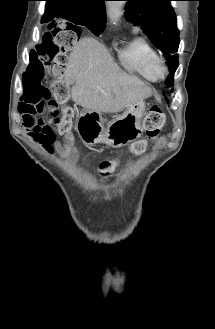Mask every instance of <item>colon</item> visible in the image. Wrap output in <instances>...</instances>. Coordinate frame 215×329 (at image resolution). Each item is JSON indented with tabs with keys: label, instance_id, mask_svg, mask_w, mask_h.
I'll list each match as a JSON object with an SVG mask.
<instances>
[{
	"label": "colon",
	"instance_id": "obj_1",
	"mask_svg": "<svg viewBox=\"0 0 215 329\" xmlns=\"http://www.w3.org/2000/svg\"><path fill=\"white\" fill-rule=\"evenodd\" d=\"M43 30L36 31V38L44 40L32 50L31 55L25 56V61L31 62V66H25L24 71L54 74H27V81L23 83L26 92L21 97L20 113L35 118L46 114L54 118L56 132L64 139L66 146L71 148L75 142L72 130L74 115L72 109L64 105L68 87L62 77L67 65L66 53L71 49H79L83 26L71 25V19H50V25H44ZM164 123L162 109L151 107L143 119L146 138L134 142L130 146L131 152L135 155L143 153L148 140L158 137ZM46 129L52 128L46 126ZM116 167L115 160H106L100 164L99 170L111 173Z\"/></svg>",
	"mask_w": 215,
	"mask_h": 329
}]
</instances>
